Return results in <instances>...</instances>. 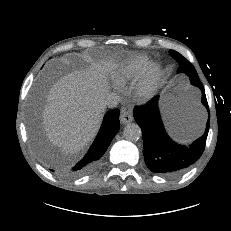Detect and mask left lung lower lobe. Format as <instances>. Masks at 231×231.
I'll use <instances>...</instances> for the list:
<instances>
[{"instance_id": "0a47b994", "label": "left lung lower lobe", "mask_w": 231, "mask_h": 231, "mask_svg": "<svg viewBox=\"0 0 231 231\" xmlns=\"http://www.w3.org/2000/svg\"><path fill=\"white\" fill-rule=\"evenodd\" d=\"M202 91V104L208 110L209 118L204 134L191 145L177 144L166 134L162 124L158 98L155 96L146 105L135 107L134 118L143 133V155L147 167L164 176H177L189 169L202 155L209 131L210 113L202 83L191 81Z\"/></svg>"}]
</instances>
